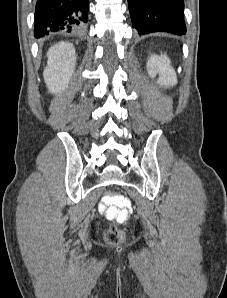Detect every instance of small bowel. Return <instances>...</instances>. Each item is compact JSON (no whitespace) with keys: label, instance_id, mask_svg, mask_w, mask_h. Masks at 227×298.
<instances>
[{"label":"small bowel","instance_id":"obj_1","mask_svg":"<svg viewBox=\"0 0 227 298\" xmlns=\"http://www.w3.org/2000/svg\"><path fill=\"white\" fill-rule=\"evenodd\" d=\"M100 211L104 212L105 211V207L101 204L99 207ZM118 221L123 222L121 219H118Z\"/></svg>","mask_w":227,"mask_h":298}]
</instances>
